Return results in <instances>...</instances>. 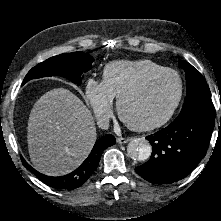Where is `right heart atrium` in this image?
<instances>
[{"label":"right heart atrium","instance_id":"d8ad5b80","mask_svg":"<svg viewBox=\"0 0 221 221\" xmlns=\"http://www.w3.org/2000/svg\"><path fill=\"white\" fill-rule=\"evenodd\" d=\"M85 98L100 123L111 117L114 98L103 81L89 78L85 84Z\"/></svg>","mask_w":221,"mask_h":221}]
</instances>
